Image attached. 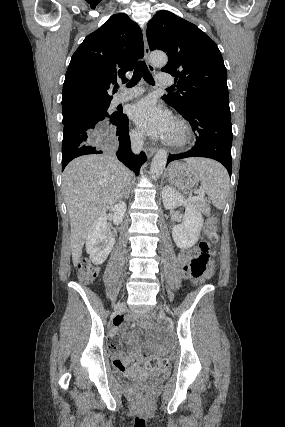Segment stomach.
Returning a JSON list of instances; mask_svg holds the SVG:
<instances>
[{
    "mask_svg": "<svg viewBox=\"0 0 285 427\" xmlns=\"http://www.w3.org/2000/svg\"><path fill=\"white\" fill-rule=\"evenodd\" d=\"M168 176L171 184L182 191L192 189L199 182L196 170L186 163H172L168 169Z\"/></svg>",
    "mask_w": 285,
    "mask_h": 427,
    "instance_id": "obj_1",
    "label": "stomach"
}]
</instances>
